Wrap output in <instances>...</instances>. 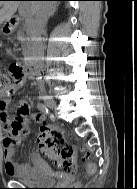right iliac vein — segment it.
<instances>
[{"label":"right iliac vein","instance_id":"obj_1","mask_svg":"<svg viewBox=\"0 0 137 189\" xmlns=\"http://www.w3.org/2000/svg\"><path fill=\"white\" fill-rule=\"evenodd\" d=\"M44 100H45V104L47 105V107H49L50 109L56 108V103L50 96L44 95Z\"/></svg>","mask_w":137,"mask_h":189}]
</instances>
